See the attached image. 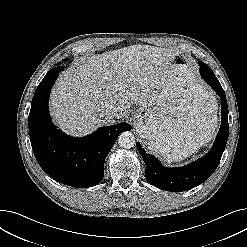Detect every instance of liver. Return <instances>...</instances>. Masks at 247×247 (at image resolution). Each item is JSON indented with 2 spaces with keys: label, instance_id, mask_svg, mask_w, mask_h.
Returning a JSON list of instances; mask_svg holds the SVG:
<instances>
[{
  "label": "liver",
  "instance_id": "obj_1",
  "mask_svg": "<svg viewBox=\"0 0 247 247\" xmlns=\"http://www.w3.org/2000/svg\"><path fill=\"white\" fill-rule=\"evenodd\" d=\"M177 53L138 44L81 60L55 83L50 96L51 115L64 131L84 136L115 122L101 116L107 105L118 109L117 119L133 104L143 109L152 107L177 71L170 64Z\"/></svg>",
  "mask_w": 247,
  "mask_h": 247
}]
</instances>
